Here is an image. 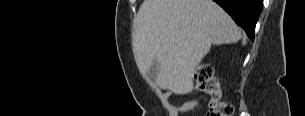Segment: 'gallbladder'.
<instances>
[{
	"mask_svg": "<svg viewBox=\"0 0 305 116\" xmlns=\"http://www.w3.org/2000/svg\"><path fill=\"white\" fill-rule=\"evenodd\" d=\"M159 68H160V63L157 60H154L145 73L146 79L151 81L152 83H156V78Z\"/></svg>",
	"mask_w": 305,
	"mask_h": 116,
	"instance_id": "bac80fb5",
	"label": "gallbladder"
}]
</instances>
